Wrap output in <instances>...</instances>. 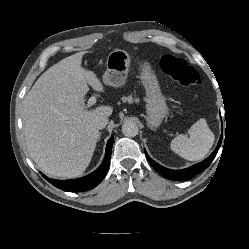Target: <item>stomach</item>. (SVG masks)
Here are the masks:
<instances>
[{
  "label": "stomach",
  "instance_id": "0dacf381",
  "mask_svg": "<svg viewBox=\"0 0 249 249\" xmlns=\"http://www.w3.org/2000/svg\"><path fill=\"white\" fill-rule=\"evenodd\" d=\"M130 63L131 56L127 51L113 50L107 57V69L103 75V82L113 87L122 86L127 79ZM140 70V79L146 92V119L152 127L157 128L168 114L166 99L161 93L150 65L144 62L140 66Z\"/></svg>",
  "mask_w": 249,
  "mask_h": 249
}]
</instances>
